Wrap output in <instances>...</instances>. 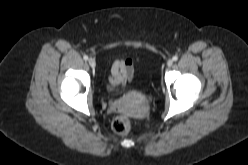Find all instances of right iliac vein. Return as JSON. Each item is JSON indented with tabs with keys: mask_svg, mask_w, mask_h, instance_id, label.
Wrapping results in <instances>:
<instances>
[{
	"mask_svg": "<svg viewBox=\"0 0 248 165\" xmlns=\"http://www.w3.org/2000/svg\"><path fill=\"white\" fill-rule=\"evenodd\" d=\"M88 63L92 68H94L96 66V62L93 58H89Z\"/></svg>",
	"mask_w": 248,
	"mask_h": 165,
	"instance_id": "63e3f726",
	"label": "right iliac vein"
}]
</instances>
